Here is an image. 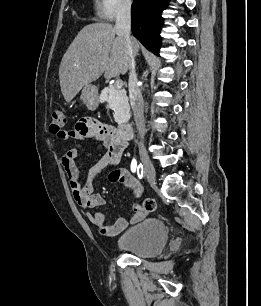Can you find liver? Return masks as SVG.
Returning <instances> with one entry per match:
<instances>
[{"mask_svg": "<svg viewBox=\"0 0 261 306\" xmlns=\"http://www.w3.org/2000/svg\"><path fill=\"white\" fill-rule=\"evenodd\" d=\"M133 54L139 44L131 39ZM126 42L117 35L110 23H93L81 29L59 67L61 92L70 102L86 85L97 80L103 73L106 79L124 75L130 65Z\"/></svg>", "mask_w": 261, "mask_h": 306, "instance_id": "liver-1", "label": "liver"}]
</instances>
